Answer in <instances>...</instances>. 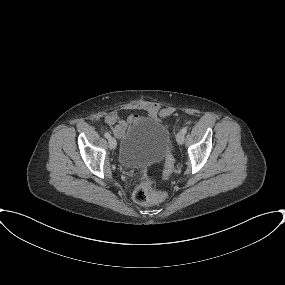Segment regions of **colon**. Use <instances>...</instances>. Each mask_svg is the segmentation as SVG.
Masks as SVG:
<instances>
[{
  "label": "colon",
  "mask_w": 285,
  "mask_h": 285,
  "mask_svg": "<svg viewBox=\"0 0 285 285\" xmlns=\"http://www.w3.org/2000/svg\"><path fill=\"white\" fill-rule=\"evenodd\" d=\"M173 166V162H169L168 168ZM133 200L141 205H151L160 203L163 196L154 190V180L151 177H145L133 192Z\"/></svg>",
  "instance_id": "5ec220e1"
}]
</instances>
